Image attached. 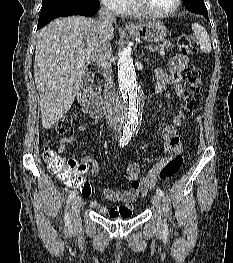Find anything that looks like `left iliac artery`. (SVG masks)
Segmentation results:
<instances>
[{"label":"left iliac artery","mask_w":233,"mask_h":263,"mask_svg":"<svg viewBox=\"0 0 233 263\" xmlns=\"http://www.w3.org/2000/svg\"><path fill=\"white\" fill-rule=\"evenodd\" d=\"M156 192L159 196L164 197V192L160 188H157ZM165 228H167V226H165Z\"/></svg>","instance_id":"44dca946"}]
</instances>
